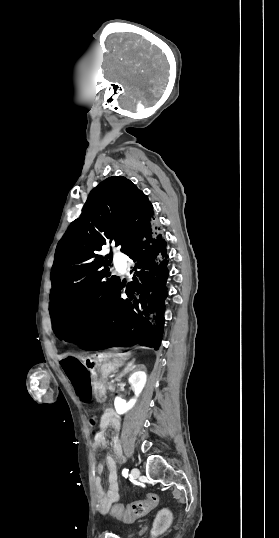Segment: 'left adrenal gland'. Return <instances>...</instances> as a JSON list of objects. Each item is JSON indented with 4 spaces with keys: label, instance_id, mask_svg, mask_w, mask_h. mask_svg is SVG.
Returning <instances> with one entry per match:
<instances>
[{
    "label": "left adrenal gland",
    "instance_id": "1",
    "mask_svg": "<svg viewBox=\"0 0 279 538\" xmlns=\"http://www.w3.org/2000/svg\"><path fill=\"white\" fill-rule=\"evenodd\" d=\"M133 360L132 362H128L126 368H124V370H122L121 374H118L117 378H115V380H120V378H123V376H125V374H128V372H132V368H133Z\"/></svg>",
    "mask_w": 279,
    "mask_h": 538
}]
</instances>
